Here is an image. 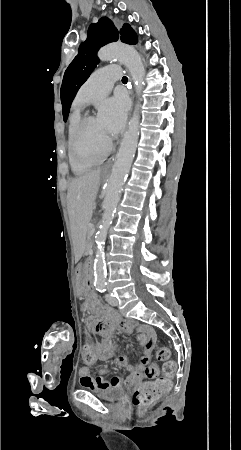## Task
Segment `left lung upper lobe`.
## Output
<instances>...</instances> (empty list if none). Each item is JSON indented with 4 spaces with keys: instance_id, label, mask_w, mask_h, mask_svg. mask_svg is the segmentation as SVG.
Returning a JSON list of instances; mask_svg holds the SVG:
<instances>
[{
    "instance_id": "left-lung-upper-lobe-1",
    "label": "left lung upper lobe",
    "mask_w": 241,
    "mask_h": 450,
    "mask_svg": "<svg viewBox=\"0 0 241 450\" xmlns=\"http://www.w3.org/2000/svg\"><path fill=\"white\" fill-rule=\"evenodd\" d=\"M120 39L123 43L135 45L137 35L127 23L118 30L107 17L91 24L87 39L80 45L77 56L66 69L62 81L60 96L64 121L67 120L71 103L80 88L99 63L97 51L103 45Z\"/></svg>"
}]
</instances>
